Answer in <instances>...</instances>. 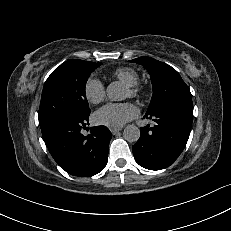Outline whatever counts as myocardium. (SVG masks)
I'll use <instances>...</instances> for the list:
<instances>
[{"mask_svg": "<svg viewBox=\"0 0 231 231\" xmlns=\"http://www.w3.org/2000/svg\"><path fill=\"white\" fill-rule=\"evenodd\" d=\"M127 89L129 91V96L133 98H137L141 94V88L135 84V85H128Z\"/></svg>", "mask_w": 231, "mask_h": 231, "instance_id": "1", "label": "myocardium"}]
</instances>
